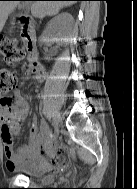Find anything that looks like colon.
Segmentation results:
<instances>
[{"mask_svg":"<svg viewBox=\"0 0 137 189\" xmlns=\"http://www.w3.org/2000/svg\"><path fill=\"white\" fill-rule=\"evenodd\" d=\"M0 55L11 66L24 65L25 52L15 40L0 36ZM17 84L18 79L12 71L0 68V102H4L5 104L11 103L9 94L17 87ZM58 153L60 152H57V150L46 153L50 165L58 166L60 164Z\"/></svg>","mask_w":137,"mask_h":189,"instance_id":"obj_1","label":"colon"}]
</instances>
